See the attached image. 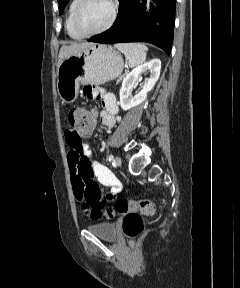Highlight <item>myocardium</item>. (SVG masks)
<instances>
[{
    "label": "myocardium",
    "instance_id": "f54148a6",
    "mask_svg": "<svg viewBox=\"0 0 240 288\" xmlns=\"http://www.w3.org/2000/svg\"><path fill=\"white\" fill-rule=\"evenodd\" d=\"M87 1L88 0H79V3L77 4V6L75 8V11L73 14V27L76 30V32H78L83 37H89V36L101 34L105 31H107L108 29H110L111 26L114 24L116 16H117V3L115 2V0H109V2L111 4V14H110L108 21L106 22V24L103 27H101L98 30L91 31V32H86V31H83L81 29V27L79 25V15H80L81 10L83 9V7Z\"/></svg>",
    "mask_w": 240,
    "mask_h": 288
}]
</instances>
